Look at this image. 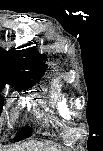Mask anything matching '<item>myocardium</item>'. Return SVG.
Instances as JSON below:
<instances>
[{"mask_svg":"<svg viewBox=\"0 0 103 151\" xmlns=\"http://www.w3.org/2000/svg\"><path fill=\"white\" fill-rule=\"evenodd\" d=\"M71 115H73L74 117H78L79 116L78 112H76V111H72Z\"/></svg>","mask_w":103,"mask_h":151,"instance_id":"obj_1","label":"myocardium"}]
</instances>
